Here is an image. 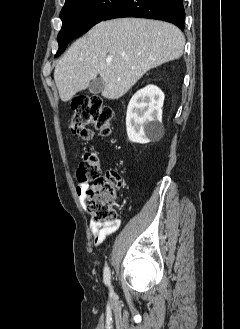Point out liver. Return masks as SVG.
<instances>
[{
	"label": "liver",
	"instance_id": "6515ba94",
	"mask_svg": "<svg viewBox=\"0 0 240 329\" xmlns=\"http://www.w3.org/2000/svg\"><path fill=\"white\" fill-rule=\"evenodd\" d=\"M185 44L176 26L149 19H113L95 25L57 63L60 99L71 100L100 75L102 96L119 99L150 69L181 57ZM111 59V63H107Z\"/></svg>",
	"mask_w": 240,
	"mask_h": 329
}]
</instances>
